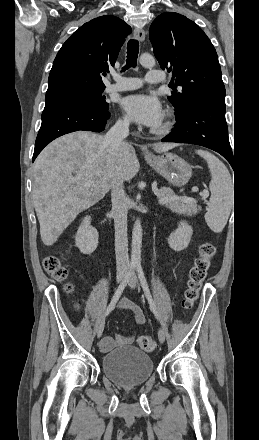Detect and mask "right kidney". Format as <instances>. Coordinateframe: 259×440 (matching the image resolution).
<instances>
[{"instance_id":"right-kidney-1","label":"right kidney","mask_w":259,"mask_h":440,"mask_svg":"<svg viewBox=\"0 0 259 440\" xmlns=\"http://www.w3.org/2000/svg\"><path fill=\"white\" fill-rule=\"evenodd\" d=\"M98 238V231L91 226V217H84L75 236L76 247L81 253L90 255L98 246Z\"/></svg>"}]
</instances>
